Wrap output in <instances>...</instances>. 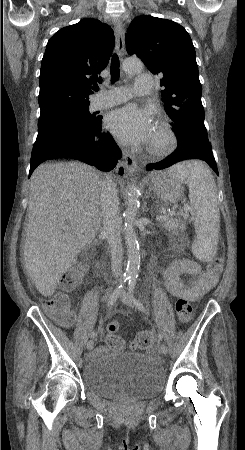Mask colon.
<instances>
[{
    "label": "colon",
    "instance_id": "5ec220e1",
    "mask_svg": "<svg viewBox=\"0 0 245 450\" xmlns=\"http://www.w3.org/2000/svg\"><path fill=\"white\" fill-rule=\"evenodd\" d=\"M222 258L217 257L211 260L210 270L213 273H219L222 269ZM89 267V262L83 260L78 262L73 270L66 274L59 283L60 291L54 294L50 299L46 300L44 305L47 308L49 315L60 326L69 328L74 323V316L69 309V299L67 292L74 290L77 281L85 275ZM176 314L179 321L185 323L191 318L192 306L186 298H180L175 304ZM107 329L109 334L106 337V342L114 350H121L125 344L123 339L115 335L114 332L118 329L117 322L108 323ZM153 342V334L149 331L140 332L134 339V348H147Z\"/></svg>",
    "mask_w": 245,
    "mask_h": 450
}]
</instances>
